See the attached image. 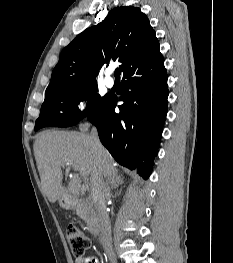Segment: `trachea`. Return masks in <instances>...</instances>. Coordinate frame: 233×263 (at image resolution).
<instances>
[{"label":"trachea","instance_id":"3493384b","mask_svg":"<svg viewBox=\"0 0 233 263\" xmlns=\"http://www.w3.org/2000/svg\"><path fill=\"white\" fill-rule=\"evenodd\" d=\"M120 74H121V70H120L119 68H117V69L115 70V77H116L117 79H119V78H120Z\"/></svg>","mask_w":233,"mask_h":263}]
</instances>
